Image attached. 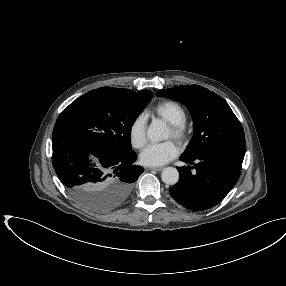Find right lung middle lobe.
<instances>
[{"label": "right lung middle lobe", "instance_id": "dd1d6c3e", "mask_svg": "<svg viewBox=\"0 0 286 286\" xmlns=\"http://www.w3.org/2000/svg\"><path fill=\"white\" fill-rule=\"evenodd\" d=\"M152 97L150 91L135 94L102 87L72 102L56 122L95 145L113 150H130L131 127ZM83 205L96 211L108 209L94 203Z\"/></svg>", "mask_w": 286, "mask_h": 286}]
</instances>
